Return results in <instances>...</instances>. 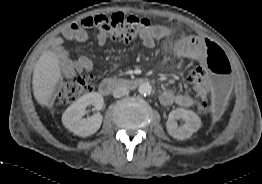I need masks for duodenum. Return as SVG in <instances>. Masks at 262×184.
Instances as JSON below:
<instances>
[{"instance_id":"410a0bca","label":"duodenum","mask_w":262,"mask_h":184,"mask_svg":"<svg viewBox=\"0 0 262 184\" xmlns=\"http://www.w3.org/2000/svg\"><path fill=\"white\" fill-rule=\"evenodd\" d=\"M148 80L146 78H125V79H114L107 78L102 80L98 85V90L100 94L107 96L115 88L124 87V88H136L140 85L146 84Z\"/></svg>"}]
</instances>
